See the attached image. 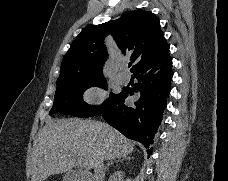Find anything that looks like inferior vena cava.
I'll return each instance as SVG.
<instances>
[{
    "label": "inferior vena cava",
    "instance_id": "602c4592",
    "mask_svg": "<svg viewBox=\"0 0 228 181\" xmlns=\"http://www.w3.org/2000/svg\"><path fill=\"white\" fill-rule=\"evenodd\" d=\"M94 173H95L94 181H104L105 179L104 159H97V161H95Z\"/></svg>",
    "mask_w": 228,
    "mask_h": 181
}]
</instances>
